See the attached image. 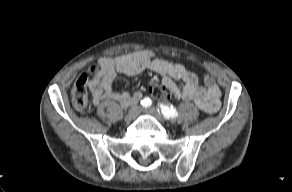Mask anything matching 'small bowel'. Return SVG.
<instances>
[{"instance_id": "c3829d8e", "label": "small bowel", "mask_w": 292, "mask_h": 192, "mask_svg": "<svg viewBox=\"0 0 292 192\" xmlns=\"http://www.w3.org/2000/svg\"><path fill=\"white\" fill-rule=\"evenodd\" d=\"M146 70L162 76V84L171 93V98L193 102L206 113H214L219 109L221 93L213 77L205 76L204 85H200L197 75L183 64L156 57L150 50L104 58L100 71L88 84L93 103L97 105L103 100H110L126 108L137 102L142 96L140 92H118L112 89V83L117 73L135 76ZM174 80L182 81V87L179 88Z\"/></svg>"}]
</instances>
